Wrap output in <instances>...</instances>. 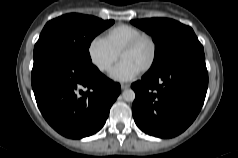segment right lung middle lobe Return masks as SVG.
<instances>
[{"label":"right lung middle lobe","instance_id":"right-lung-middle-lobe-1","mask_svg":"<svg viewBox=\"0 0 238 158\" xmlns=\"http://www.w3.org/2000/svg\"><path fill=\"white\" fill-rule=\"evenodd\" d=\"M114 20L70 13L49 21L35 44L33 56L48 48L58 49L85 64H92L88 48L96 35Z\"/></svg>","mask_w":238,"mask_h":158}]
</instances>
